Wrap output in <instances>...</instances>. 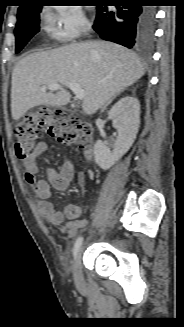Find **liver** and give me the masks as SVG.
<instances>
[{
    "label": "liver",
    "mask_w": 184,
    "mask_h": 327,
    "mask_svg": "<svg viewBox=\"0 0 184 327\" xmlns=\"http://www.w3.org/2000/svg\"><path fill=\"white\" fill-rule=\"evenodd\" d=\"M144 74L145 69L134 52L101 40L32 53L22 58L13 69L12 118L19 120L36 106L67 105L71 99L68 91L40 90L53 83L78 84L84 90L82 109L92 115Z\"/></svg>",
    "instance_id": "1"
}]
</instances>
